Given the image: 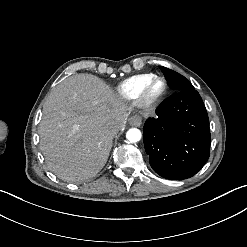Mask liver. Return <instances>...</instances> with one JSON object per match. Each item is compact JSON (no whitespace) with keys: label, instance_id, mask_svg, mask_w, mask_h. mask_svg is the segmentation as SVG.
Wrapping results in <instances>:
<instances>
[{"label":"liver","instance_id":"obj_1","mask_svg":"<svg viewBox=\"0 0 247 247\" xmlns=\"http://www.w3.org/2000/svg\"><path fill=\"white\" fill-rule=\"evenodd\" d=\"M134 109L95 75L64 79L45 101L39 123L40 149L49 170L67 182L94 177L113 146L109 128L124 129Z\"/></svg>","mask_w":247,"mask_h":247}]
</instances>
